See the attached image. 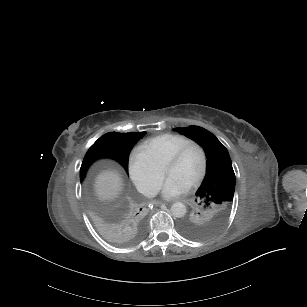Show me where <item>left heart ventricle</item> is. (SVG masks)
Wrapping results in <instances>:
<instances>
[{
	"label": "left heart ventricle",
	"instance_id": "obj_1",
	"mask_svg": "<svg viewBox=\"0 0 307 307\" xmlns=\"http://www.w3.org/2000/svg\"><path fill=\"white\" fill-rule=\"evenodd\" d=\"M202 165V151L199 146H193L180 161L163 164L162 170L166 176L175 175L189 184L201 171Z\"/></svg>",
	"mask_w": 307,
	"mask_h": 307
}]
</instances>
